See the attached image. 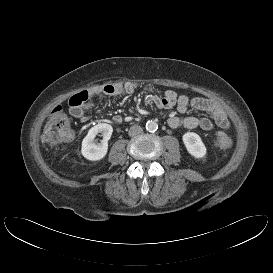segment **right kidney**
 <instances>
[{
    "instance_id": "1",
    "label": "right kidney",
    "mask_w": 273,
    "mask_h": 273,
    "mask_svg": "<svg viewBox=\"0 0 273 273\" xmlns=\"http://www.w3.org/2000/svg\"><path fill=\"white\" fill-rule=\"evenodd\" d=\"M113 128L110 124L99 123L92 127L82 141L81 153L90 161H98L105 157L108 151V140L111 138ZM101 133V143L94 141L96 135Z\"/></svg>"
}]
</instances>
